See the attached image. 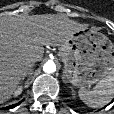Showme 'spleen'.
<instances>
[{"instance_id": "obj_1", "label": "spleen", "mask_w": 114, "mask_h": 114, "mask_svg": "<svg viewBox=\"0 0 114 114\" xmlns=\"http://www.w3.org/2000/svg\"><path fill=\"white\" fill-rule=\"evenodd\" d=\"M78 93L80 99L91 108L108 104L114 96V71L101 79L92 90L81 87Z\"/></svg>"}]
</instances>
